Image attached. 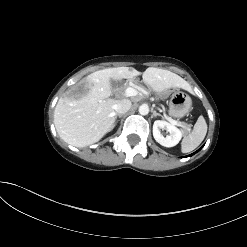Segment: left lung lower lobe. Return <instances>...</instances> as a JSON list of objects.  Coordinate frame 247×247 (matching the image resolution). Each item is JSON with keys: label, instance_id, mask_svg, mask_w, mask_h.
<instances>
[{"label": "left lung lower lobe", "instance_id": "left-lung-lower-lobe-1", "mask_svg": "<svg viewBox=\"0 0 247 247\" xmlns=\"http://www.w3.org/2000/svg\"><path fill=\"white\" fill-rule=\"evenodd\" d=\"M200 149H201V148H200ZM200 149H199V150H200ZM199 150H197L196 152H198ZM196 152H194L193 154H195ZM193 154H190L189 156H192Z\"/></svg>", "mask_w": 247, "mask_h": 247}]
</instances>
